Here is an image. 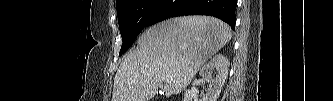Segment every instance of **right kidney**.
<instances>
[{
	"label": "right kidney",
	"instance_id": "right-kidney-1",
	"mask_svg": "<svg viewBox=\"0 0 333 101\" xmlns=\"http://www.w3.org/2000/svg\"><path fill=\"white\" fill-rule=\"evenodd\" d=\"M228 67V59L222 54H217L200 69V76L204 81L209 82L204 101H217L225 79L227 78ZM212 71H216L215 76L211 75ZM193 85H198V81H194ZM197 93V89L186 91L184 94V101H193Z\"/></svg>",
	"mask_w": 333,
	"mask_h": 101
}]
</instances>
